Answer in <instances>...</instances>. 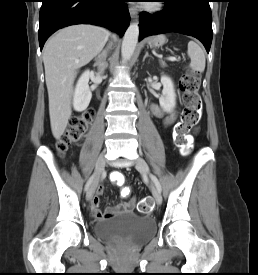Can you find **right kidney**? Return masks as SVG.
<instances>
[{"label":"right kidney","mask_w":258,"mask_h":275,"mask_svg":"<svg viewBox=\"0 0 258 275\" xmlns=\"http://www.w3.org/2000/svg\"><path fill=\"white\" fill-rule=\"evenodd\" d=\"M91 72L89 70L85 71L77 81L75 91L73 94V107L77 112L84 111L92 98V93L89 89V78Z\"/></svg>","instance_id":"obj_1"}]
</instances>
